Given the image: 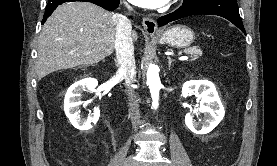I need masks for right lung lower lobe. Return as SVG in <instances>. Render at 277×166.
Listing matches in <instances>:
<instances>
[{
    "instance_id": "1",
    "label": "right lung lower lobe",
    "mask_w": 277,
    "mask_h": 166,
    "mask_svg": "<svg viewBox=\"0 0 277 166\" xmlns=\"http://www.w3.org/2000/svg\"><path fill=\"white\" fill-rule=\"evenodd\" d=\"M72 1L91 2L109 11L115 10L120 3V0H48L42 24L46 21V19L51 15V13L56 9L58 5Z\"/></svg>"
}]
</instances>
